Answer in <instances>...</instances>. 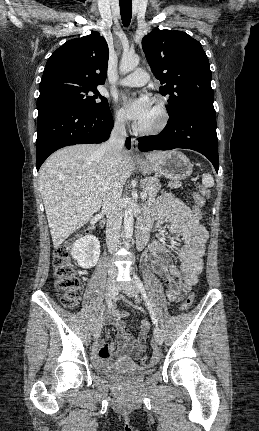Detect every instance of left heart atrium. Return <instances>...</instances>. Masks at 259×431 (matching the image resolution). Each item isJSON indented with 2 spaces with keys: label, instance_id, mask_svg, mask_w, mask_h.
<instances>
[{
  "label": "left heart atrium",
  "instance_id": "39dd6f15",
  "mask_svg": "<svg viewBox=\"0 0 259 431\" xmlns=\"http://www.w3.org/2000/svg\"><path fill=\"white\" fill-rule=\"evenodd\" d=\"M151 107L152 100L146 94H139L135 97L126 96L123 99V108L128 118L138 124L148 116Z\"/></svg>",
  "mask_w": 259,
  "mask_h": 431
}]
</instances>
